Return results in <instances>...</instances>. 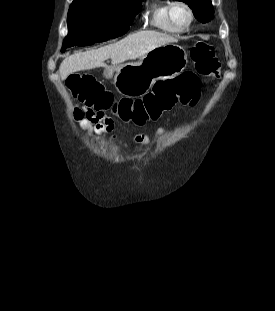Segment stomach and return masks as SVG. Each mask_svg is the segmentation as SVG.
I'll use <instances>...</instances> for the list:
<instances>
[{"label":"stomach","instance_id":"stomach-1","mask_svg":"<svg viewBox=\"0 0 275 311\" xmlns=\"http://www.w3.org/2000/svg\"><path fill=\"white\" fill-rule=\"evenodd\" d=\"M186 51L179 45L169 43L158 46L136 62L107 68L103 75L113 78L116 90L127 97L144 95L156 79H172L178 76L188 62Z\"/></svg>","mask_w":275,"mask_h":311}]
</instances>
